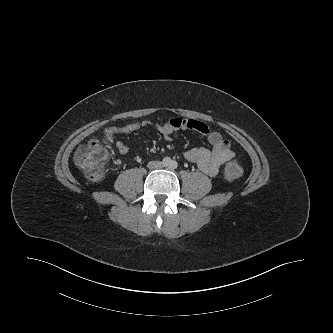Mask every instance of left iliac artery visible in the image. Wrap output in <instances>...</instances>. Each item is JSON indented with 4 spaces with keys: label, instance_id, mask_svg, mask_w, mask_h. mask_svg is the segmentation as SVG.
<instances>
[{
    "label": "left iliac artery",
    "instance_id": "1",
    "mask_svg": "<svg viewBox=\"0 0 333 333\" xmlns=\"http://www.w3.org/2000/svg\"><path fill=\"white\" fill-rule=\"evenodd\" d=\"M177 167H178V163L176 161H171L170 168L171 169H176Z\"/></svg>",
    "mask_w": 333,
    "mask_h": 333
}]
</instances>
